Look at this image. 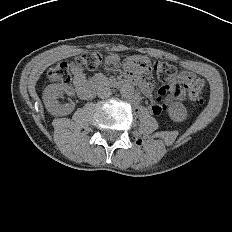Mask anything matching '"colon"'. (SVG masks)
Returning a JSON list of instances; mask_svg holds the SVG:
<instances>
[{
  "instance_id": "1",
  "label": "colon",
  "mask_w": 232,
  "mask_h": 232,
  "mask_svg": "<svg viewBox=\"0 0 232 232\" xmlns=\"http://www.w3.org/2000/svg\"><path fill=\"white\" fill-rule=\"evenodd\" d=\"M102 62V55L98 52H89L75 58L72 62H61L50 69L49 80L53 83H66L70 81L71 73L76 70H95ZM153 69L162 82H170L176 75V69L165 62H155ZM189 99L199 102L202 95V85L190 83L186 86Z\"/></svg>"
}]
</instances>
